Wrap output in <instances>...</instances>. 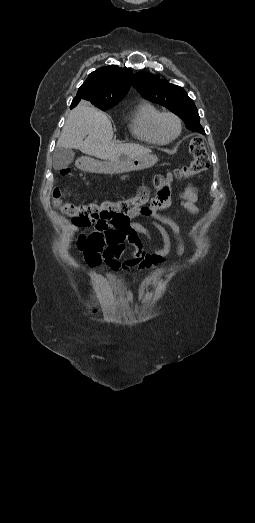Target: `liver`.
I'll list each match as a JSON object with an SVG mask.
<instances>
[{"label": "liver", "instance_id": "1", "mask_svg": "<svg viewBox=\"0 0 255 523\" xmlns=\"http://www.w3.org/2000/svg\"><path fill=\"white\" fill-rule=\"evenodd\" d=\"M113 136L112 124L107 116L87 102H82L75 110H71L57 148H77L88 156L108 160L104 166L107 170L105 174H114L116 168H120L121 156H127L130 160L150 156L153 166L156 164L157 158L151 156L149 148H143L139 144H113Z\"/></svg>", "mask_w": 255, "mask_h": 523}]
</instances>
